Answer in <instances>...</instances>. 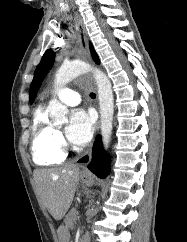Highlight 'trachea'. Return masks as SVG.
<instances>
[{
    "mask_svg": "<svg viewBox=\"0 0 187 242\" xmlns=\"http://www.w3.org/2000/svg\"><path fill=\"white\" fill-rule=\"evenodd\" d=\"M90 97H91V98H95V93L91 92V93H90Z\"/></svg>",
    "mask_w": 187,
    "mask_h": 242,
    "instance_id": "trachea-1",
    "label": "trachea"
}]
</instances>
